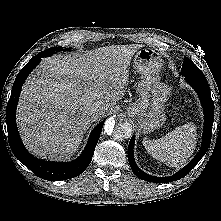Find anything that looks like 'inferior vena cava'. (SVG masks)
<instances>
[{
  "label": "inferior vena cava",
  "mask_w": 221,
  "mask_h": 221,
  "mask_svg": "<svg viewBox=\"0 0 221 221\" xmlns=\"http://www.w3.org/2000/svg\"><path fill=\"white\" fill-rule=\"evenodd\" d=\"M98 117H99V113L94 112L92 118L96 120V119H98Z\"/></svg>",
  "instance_id": "1"
}]
</instances>
